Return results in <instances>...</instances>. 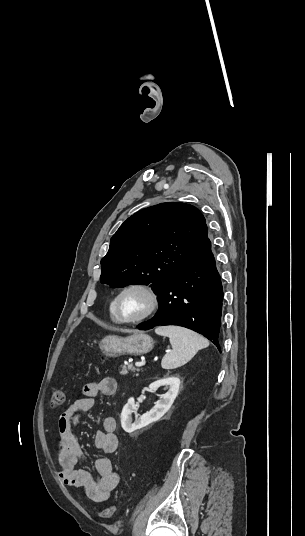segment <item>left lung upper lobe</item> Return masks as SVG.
<instances>
[{"instance_id":"left-lung-upper-lobe-1","label":"left lung upper lobe","mask_w":305,"mask_h":536,"mask_svg":"<svg viewBox=\"0 0 305 536\" xmlns=\"http://www.w3.org/2000/svg\"><path fill=\"white\" fill-rule=\"evenodd\" d=\"M210 240L194 206L168 202L129 217L102 258L100 281L111 287L151 284L159 293Z\"/></svg>"}]
</instances>
